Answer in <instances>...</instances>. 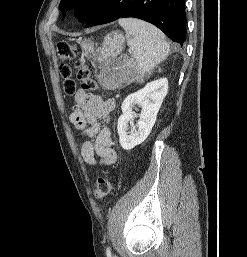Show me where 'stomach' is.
I'll list each match as a JSON object with an SVG mask.
<instances>
[{
  "label": "stomach",
  "mask_w": 247,
  "mask_h": 257,
  "mask_svg": "<svg viewBox=\"0 0 247 257\" xmlns=\"http://www.w3.org/2000/svg\"><path fill=\"white\" fill-rule=\"evenodd\" d=\"M124 40L125 38L121 32L114 31L107 35L106 42L101 47L95 48L94 42L91 40H82L80 45L85 57L99 65H104L110 60L119 57L123 49ZM136 71L135 64L125 61L117 69V86L133 79Z\"/></svg>",
  "instance_id": "stomach-1"
}]
</instances>
